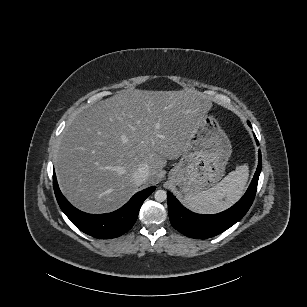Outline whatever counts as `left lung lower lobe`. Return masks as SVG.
Here are the masks:
<instances>
[{
    "mask_svg": "<svg viewBox=\"0 0 307 307\" xmlns=\"http://www.w3.org/2000/svg\"><path fill=\"white\" fill-rule=\"evenodd\" d=\"M251 127L250 122H248ZM257 144L258 140L254 134ZM262 168L261 151L259 150V162L254 178L244 196L228 210L214 214H196L185 207L170 193H167L168 212L172 226L182 234L191 238H209L222 233L239 221L249 210L253 203L259 175Z\"/></svg>",
    "mask_w": 307,
    "mask_h": 307,
    "instance_id": "1",
    "label": "left lung lower lobe"
}]
</instances>
